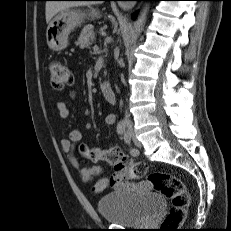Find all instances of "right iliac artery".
Wrapping results in <instances>:
<instances>
[{
  "mask_svg": "<svg viewBox=\"0 0 231 231\" xmlns=\"http://www.w3.org/2000/svg\"><path fill=\"white\" fill-rule=\"evenodd\" d=\"M125 128H126V124L124 121H120L118 124H117V133L119 135H123L125 133Z\"/></svg>",
  "mask_w": 231,
  "mask_h": 231,
  "instance_id": "82829eb1",
  "label": "right iliac artery"
}]
</instances>
